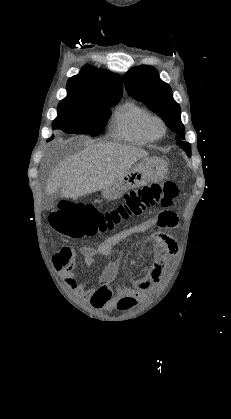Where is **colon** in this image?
<instances>
[{
	"label": "colon",
	"instance_id": "colon-1",
	"mask_svg": "<svg viewBox=\"0 0 231 419\" xmlns=\"http://www.w3.org/2000/svg\"><path fill=\"white\" fill-rule=\"evenodd\" d=\"M177 194V185L172 181L151 183L129 191L122 204L104 213L98 211L94 205L62 202L51 213L49 220L53 229L73 236L82 235L88 229L106 231L156 205L172 206ZM163 225L164 222L161 221V226ZM55 258L59 259L61 264L65 263L61 252L56 254ZM135 303L133 298L125 296L118 302V308L128 309Z\"/></svg>",
	"mask_w": 231,
	"mask_h": 419
}]
</instances>
